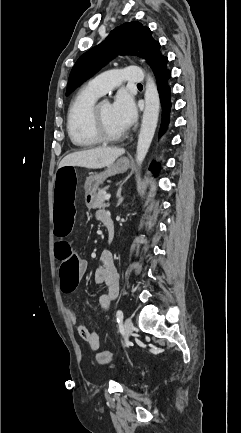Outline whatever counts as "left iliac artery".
<instances>
[{"mask_svg": "<svg viewBox=\"0 0 241 433\" xmlns=\"http://www.w3.org/2000/svg\"><path fill=\"white\" fill-rule=\"evenodd\" d=\"M116 319H117V322L119 324H122V321H123V312L121 310L117 311V313H116Z\"/></svg>", "mask_w": 241, "mask_h": 433, "instance_id": "obj_1", "label": "left iliac artery"}]
</instances>
